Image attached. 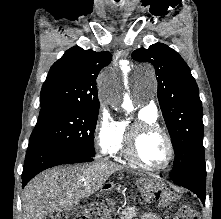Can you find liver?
Masks as SVG:
<instances>
[{
	"mask_svg": "<svg viewBox=\"0 0 221 219\" xmlns=\"http://www.w3.org/2000/svg\"><path fill=\"white\" fill-rule=\"evenodd\" d=\"M123 167L113 162H94L59 167L37 175L22 196V219H45L100 190L108 178Z\"/></svg>",
	"mask_w": 221,
	"mask_h": 219,
	"instance_id": "1",
	"label": "liver"
}]
</instances>
